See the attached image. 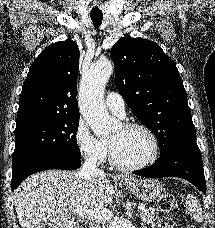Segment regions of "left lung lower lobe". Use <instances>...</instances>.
Returning a JSON list of instances; mask_svg holds the SVG:
<instances>
[{"instance_id": "1", "label": "left lung lower lobe", "mask_w": 215, "mask_h": 228, "mask_svg": "<svg viewBox=\"0 0 215 228\" xmlns=\"http://www.w3.org/2000/svg\"><path fill=\"white\" fill-rule=\"evenodd\" d=\"M133 173L144 177H180L206 194L202 156L195 138L178 143L162 154L153 165Z\"/></svg>"}]
</instances>
